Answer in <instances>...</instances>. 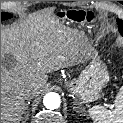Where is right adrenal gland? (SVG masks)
Masks as SVG:
<instances>
[{
    "instance_id": "obj_1",
    "label": "right adrenal gland",
    "mask_w": 123,
    "mask_h": 123,
    "mask_svg": "<svg viewBox=\"0 0 123 123\" xmlns=\"http://www.w3.org/2000/svg\"><path fill=\"white\" fill-rule=\"evenodd\" d=\"M30 104V102H28L27 104H26V110H28V105ZM22 123H24V122H22Z\"/></svg>"
}]
</instances>
